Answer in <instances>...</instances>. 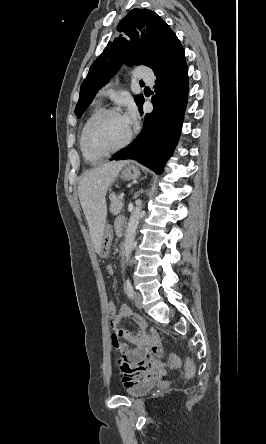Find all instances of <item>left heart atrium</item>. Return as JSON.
<instances>
[{
	"label": "left heart atrium",
	"instance_id": "39dd6f15",
	"mask_svg": "<svg viewBox=\"0 0 266 444\" xmlns=\"http://www.w3.org/2000/svg\"><path fill=\"white\" fill-rule=\"evenodd\" d=\"M129 125L134 124L137 121V112L134 107L128 109L127 114L124 116Z\"/></svg>",
	"mask_w": 266,
	"mask_h": 444
}]
</instances>
